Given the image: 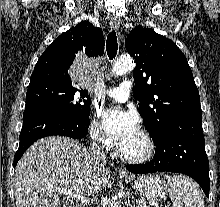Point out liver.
<instances>
[{"label":"liver","instance_id":"liver-1","mask_svg":"<svg viewBox=\"0 0 220 207\" xmlns=\"http://www.w3.org/2000/svg\"><path fill=\"white\" fill-rule=\"evenodd\" d=\"M110 179L105 163H95L81 143L50 136L35 142L15 169L17 207H58L57 187H67L83 196L104 189Z\"/></svg>","mask_w":220,"mask_h":207}]
</instances>
